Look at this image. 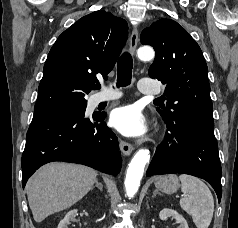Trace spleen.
Segmentation results:
<instances>
[{"mask_svg":"<svg viewBox=\"0 0 238 228\" xmlns=\"http://www.w3.org/2000/svg\"><path fill=\"white\" fill-rule=\"evenodd\" d=\"M183 198L181 208L191 215L197 228H208L214 212V199L207 185L197 177L179 176Z\"/></svg>","mask_w":238,"mask_h":228,"instance_id":"obj_1","label":"spleen"}]
</instances>
